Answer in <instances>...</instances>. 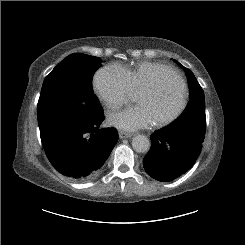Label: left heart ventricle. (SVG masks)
Instances as JSON below:
<instances>
[{
	"mask_svg": "<svg viewBox=\"0 0 245 245\" xmlns=\"http://www.w3.org/2000/svg\"><path fill=\"white\" fill-rule=\"evenodd\" d=\"M155 84L162 86L161 92L139 93L137 103L147 107L156 122L173 114L181 105L182 96L180 85L172 75L159 76Z\"/></svg>",
	"mask_w": 245,
	"mask_h": 245,
	"instance_id": "1",
	"label": "left heart ventricle"
}]
</instances>
